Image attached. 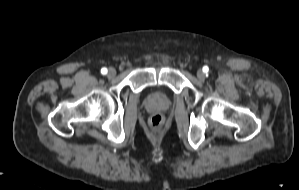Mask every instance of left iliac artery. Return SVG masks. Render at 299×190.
Segmentation results:
<instances>
[{"label": "left iliac artery", "instance_id": "44dca946", "mask_svg": "<svg viewBox=\"0 0 299 190\" xmlns=\"http://www.w3.org/2000/svg\"><path fill=\"white\" fill-rule=\"evenodd\" d=\"M209 70V68L207 67V66H205L204 68H203V71L204 72H207Z\"/></svg>", "mask_w": 299, "mask_h": 190}]
</instances>
